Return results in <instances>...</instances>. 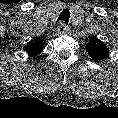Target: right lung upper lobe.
Returning a JSON list of instances; mask_svg holds the SVG:
<instances>
[{"mask_svg": "<svg viewBox=\"0 0 118 118\" xmlns=\"http://www.w3.org/2000/svg\"><path fill=\"white\" fill-rule=\"evenodd\" d=\"M44 38L41 40L30 41L27 45H25V51L31 55H37L42 51Z\"/></svg>", "mask_w": 118, "mask_h": 118, "instance_id": "obj_1", "label": "right lung upper lobe"}]
</instances>
